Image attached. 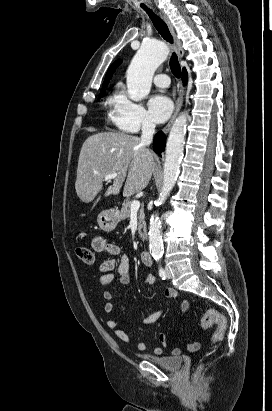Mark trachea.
I'll list each match as a JSON object with an SVG mask.
<instances>
[{"label":"trachea","mask_w":272,"mask_h":411,"mask_svg":"<svg viewBox=\"0 0 272 411\" xmlns=\"http://www.w3.org/2000/svg\"><path fill=\"white\" fill-rule=\"evenodd\" d=\"M148 14L150 17L152 23L154 24L155 28L157 29L158 33L169 43H173V38L172 35L166 25V23L158 17L152 10L147 8L146 6H141ZM170 69L173 75L176 78L181 77V68L180 64L178 62V57L175 52L172 53L171 58H170Z\"/></svg>","instance_id":"obj_1"}]
</instances>
